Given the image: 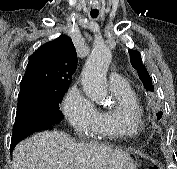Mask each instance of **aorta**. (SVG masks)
Masks as SVG:
<instances>
[{
	"instance_id": "obj_1",
	"label": "aorta",
	"mask_w": 177,
	"mask_h": 169,
	"mask_svg": "<svg viewBox=\"0 0 177 169\" xmlns=\"http://www.w3.org/2000/svg\"><path fill=\"white\" fill-rule=\"evenodd\" d=\"M111 59L112 54L106 46H95L84 65L81 78L83 91L96 103L106 101V74Z\"/></svg>"
}]
</instances>
